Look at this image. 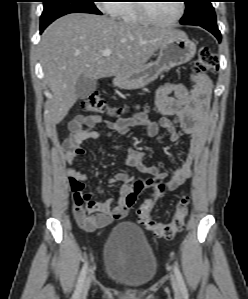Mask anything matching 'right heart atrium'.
I'll return each mask as SVG.
<instances>
[{"label":"right heart atrium","instance_id":"right-heart-atrium-1","mask_svg":"<svg viewBox=\"0 0 248 299\" xmlns=\"http://www.w3.org/2000/svg\"><path fill=\"white\" fill-rule=\"evenodd\" d=\"M101 2L102 3L100 4V9L102 11L113 14L115 2H111V1H101Z\"/></svg>","mask_w":248,"mask_h":299}]
</instances>
